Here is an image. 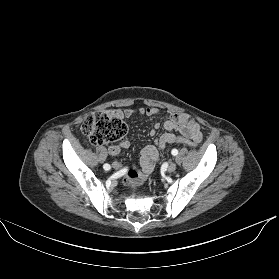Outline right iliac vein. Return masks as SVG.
<instances>
[{"mask_svg":"<svg viewBox=\"0 0 279 279\" xmlns=\"http://www.w3.org/2000/svg\"><path fill=\"white\" fill-rule=\"evenodd\" d=\"M112 167H113L114 169H118V168L120 167V163H119V162H114V163L112 164Z\"/></svg>","mask_w":279,"mask_h":279,"instance_id":"obj_1","label":"right iliac vein"}]
</instances>
